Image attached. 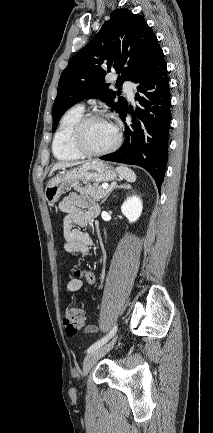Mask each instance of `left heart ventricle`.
<instances>
[{
    "instance_id": "left-heart-ventricle-1",
    "label": "left heart ventricle",
    "mask_w": 213,
    "mask_h": 433,
    "mask_svg": "<svg viewBox=\"0 0 213 433\" xmlns=\"http://www.w3.org/2000/svg\"><path fill=\"white\" fill-rule=\"evenodd\" d=\"M116 140V130L105 120L90 121L84 131V143L90 150L102 151Z\"/></svg>"
}]
</instances>
